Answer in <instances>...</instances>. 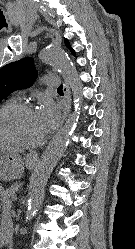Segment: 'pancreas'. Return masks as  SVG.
<instances>
[{
    "label": "pancreas",
    "mask_w": 135,
    "mask_h": 249,
    "mask_svg": "<svg viewBox=\"0 0 135 249\" xmlns=\"http://www.w3.org/2000/svg\"><path fill=\"white\" fill-rule=\"evenodd\" d=\"M18 190V187L16 185L11 186L10 188L6 190H2L3 194L5 195L6 199H9L11 196L15 194V192Z\"/></svg>",
    "instance_id": "1"
}]
</instances>
